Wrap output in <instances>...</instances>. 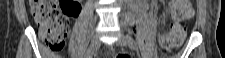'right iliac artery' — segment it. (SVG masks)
<instances>
[{"label": "right iliac artery", "mask_w": 225, "mask_h": 58, "mask_svg": "<svg viewBox=\"0 0 225 58\" xmlns=\"http://www.w3.org/2000/svg\"><path fill=\"white\" fill-rule=\"evenodd\" d=\"M91 57H92V55H90V52L88 50L87 53H86V55H85V58H91Z\"/></svg>", "instance_id": "obj_1"}]
</instances>
